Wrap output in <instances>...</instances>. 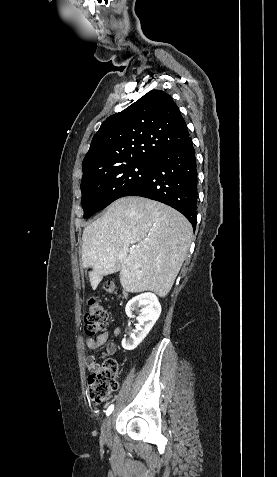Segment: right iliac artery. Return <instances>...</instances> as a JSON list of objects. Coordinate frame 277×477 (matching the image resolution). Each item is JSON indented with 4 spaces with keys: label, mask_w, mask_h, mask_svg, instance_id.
<instances>
[{
    "label": "right iliac artery",
    "mask_w": 277,
    "mask_h": 477,
    "mask_svg": "<svg viewBox=\"0 0 277 477\" xmlns=\"http://www.w3.org/2000/svg\"><path fill=\"white\" fill-rule=\"evenodd\" d=\"M114 409V405L109 406V408L106 411V415H110Z\"/></svg>",
    "instance_id": "82829eb1"
}]
</instances>
